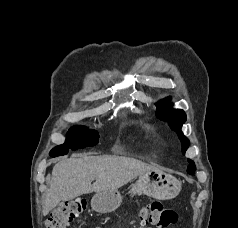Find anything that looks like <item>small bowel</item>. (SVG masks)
I'll list each match as a JSON object with an SVG mask.
<instances>
[{
  "mask_svg": "<svg viewBox=\"0 0 238 228\" xmlns=\"http://www.w3.org/2000/svg\"><path fill=\"white\" fill-rule=\"evenodd\" d=\"M96 228H101V227H96ZM145 228H151L150 226H146Z\"/></svg>",
  "mask_w": 238,
  "mask_h": 228,
  "instance_id": "obj_1",
  "label": "small bowel"
}]
</instances>
